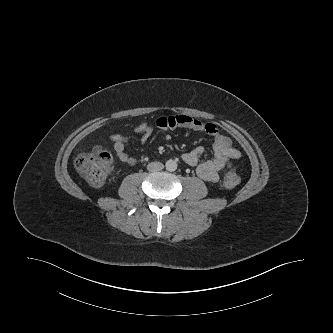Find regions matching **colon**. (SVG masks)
Returning a JSON list of instances; mask_svg holds the SVG:
<instances>
[{"label":"colon","instance_id":"5ec220e1","mask_svg":"<svg viewBox=\"0 0 333 333\" xmlns=\"http://www.w3.org/2000/svg\"><path fill=\"white\" fill-rule=\"evenodd\" d=\"M111 154L102 148H95L86 153L79 154L75 159V167L78 173L92 186H101L108 177L112 168ZM240 181L235 171L227 172L223 177V185L233 188Z\"/></svg>","mask_w":333,"mask_h":333}]
</instances>
